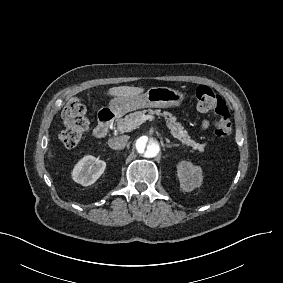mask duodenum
<instances>
[{
	"instance_id": "410a0bca",
	"label": "duodenum",
	"mask_w": 283,
	"mask_h": 283,
	"mask_svg": "<svg viewBox=\"0 0 283 283\" xmlns=\"http://www.w3.org/2000/svg\"><path fill=\"white\" fill-rule=\"evenodd\" d=\"M114 119L115 115L112 112L106 111L102 113L99 117V122L94 129L95 137L98 139L105 138L113 125Z\"/></svg>"
}]
</instances>
